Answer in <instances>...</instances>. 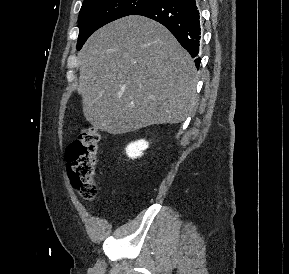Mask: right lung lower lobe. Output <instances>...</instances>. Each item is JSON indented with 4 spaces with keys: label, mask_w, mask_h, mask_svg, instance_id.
<instances>
[{
    "label": "right lung lower lobe",
    "mask_w": 289,
    "mask_h": 274,
    "mask_svg": "<svg viewBox=\"0 0 289 274\" xmlns=\"http://www.w3.org/2000/svg\"><path fill=\"white\" fill-rule=\"evenodd\" d=\"M134 15L161 23L193 58L198 56L201 28L196 0H158ZM195 64L199 68V57L195 59Z\"/></svg>",
    "instance_id": "right-lung-lower-lobe-1"
}]
</instances>
